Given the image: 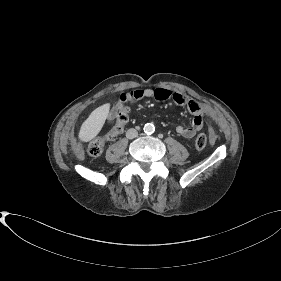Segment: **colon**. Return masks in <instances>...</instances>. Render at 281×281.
<instances>
[{"label":"colon","instance_id":"1","mask_svg":"<svg viewBox=\"0 0 281 281\" xmlns=\"http://www.w3.org/2000/svg\"><path fill=\"white\" fill-rule=\"evenodd\" d=\"M129 119V109L126 105L120 103L117 106L116 124L103 137L93 140L88 146V154L92 157H98L102 154L106 142L115 140L122 132L124 125ZM208 139L206 135L200 134L195 140V145L198 149H204L207 146Z\"/></svg>","mask_w":281,"mask_h":281}]
</instances>
